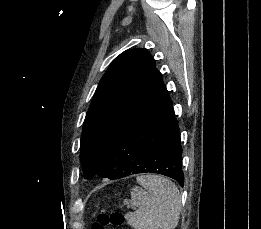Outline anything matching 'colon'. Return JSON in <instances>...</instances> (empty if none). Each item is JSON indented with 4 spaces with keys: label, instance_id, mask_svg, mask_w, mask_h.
<instances>
[{
    "label": "colon",
    "instance_id": "obj_1",
    "mask_svg": "<svg viewBox=\"0 0 261 229\" xmlns=\"http://www.w3.org/2000/svg\"><path fill=\"white\" fill-rule=\"evenodd\" d=\"M123 224L124 216L118 211H113L111 214L100 213L91 225V229H120Z\"/></svg>",
    "mask_w": 261,
    "mask_h": 229
}]
</instances>
